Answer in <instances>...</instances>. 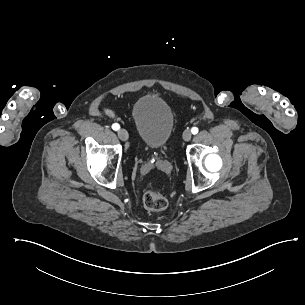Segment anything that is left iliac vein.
<instances>
[{
	"instance_id": "4c4485c4",
	"label": "left iliac vein",
	"mask_w": 305,
	"mask_h": 305,
	"mask_svg": "<svg viewBox=\"0 0 305 305\" xmlns=\"http://www.w3.org/2000/svg\"><path fill=\"white\" fill-rule=\"evenodd\" d=\"M191 137H192L191 131L190 130H185L184 133H183V139L185 141H190Z\"/></svg>"
}]
</instances>
